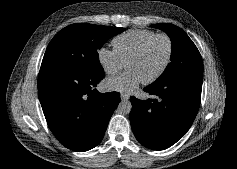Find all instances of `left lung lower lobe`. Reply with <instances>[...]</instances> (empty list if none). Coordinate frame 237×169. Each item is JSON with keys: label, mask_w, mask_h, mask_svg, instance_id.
<instances>
[{"label": "left lung lower lobe", "mask_w": 237, "mask_h": 169, "mask_svg": "<svg viewBox=\"0 0 237 169\" xmlns=\"http://www.w3.org/2000/svg\"><path fill=\"white\" fill-rule=\"evenodd\" d=\"M203 73L150 84L145 92L159 99L131 97L130 122L136 139L145 147L164 150L191 127L201 99Z\"/></svg>", "instance_id": "0a47b994"}]
</instances>
